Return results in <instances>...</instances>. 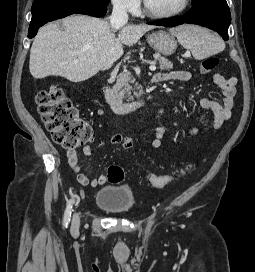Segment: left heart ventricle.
<instances>
[{
	"mask_svg": "<svg viewBox=\"0 0 255 272\" xmlns=\"http://www.w3.org/2000/svg\"><path fill=\"white\" fill-rule=\"evenodd\" d=\"M148 8L157 13L168 12L179 8L184 0H145Z\"/></svg>",
	"mask_w": 255,
	"mask_h": 272,
	"instance_id": "left-heart-ventricle-1",
	"label": "left heart ventricle"
}]
</instances>
